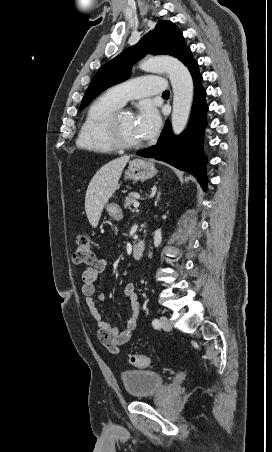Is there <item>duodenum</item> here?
<instances>
[{
    "label": "duodenum",
    "mask_w": 272,
    "mask_h": 452,
    "mask_svg": "<svg viewBox=\"0 0 272 452\" xmlns=\"http://www.w3.org/2000/svg\"><path fill=\"white\" fill-rule=\"evenodd\" d=\"M145 249L146 243L144 241H139L135 243L132 249V257L134 259H140L143 256Z\"/></svg>",
    "instance_id": "1"
}]
</instances>
